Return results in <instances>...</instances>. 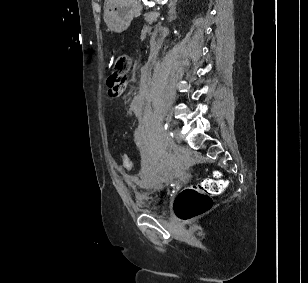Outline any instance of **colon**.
<instances>
[{
  "mask_svg": "<svg viewBox=\"0 0 308 283\" xmlns=\"http://www.w3.org/2000/svg\"><path fill=\"white\" fill-rule=\"evenodd\" d=\"M130 67L131 58L128 54L113 53L111 56L112 73L107 82L117 87L124 85ZM122 164L126 169H131L132 162L127 154L122 155ZM226 186L227 182L220 178L219 172H215L213 178H206L197 185L183 189L174 202L176 216L183 221H189L207 212L212 207V197L221 194Z\"/></svg>",
  "mask_w": 308,
  "mask_h": 283,
  "instance_id": "5ec220e1",
  "label": "colon"
}]
</instances>
